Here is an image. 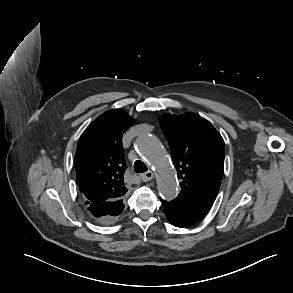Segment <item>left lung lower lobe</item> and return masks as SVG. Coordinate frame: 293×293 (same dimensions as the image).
<instances>
[{"mask_svg":"<svg viewBox=\"0 0 293 293\" xmlns=\"http://www.w3.org/2000/svg\"><path fill=\"white\" fill-rule=\"evenodd\" d=\"M162 203L168 220L176 227H189L197 223L205 215V212L189 207L176 198L171 202L162 200Z\"/></svg>","mask_w":293,"mask_h":293,"instance_id":"left-lung-lower-lobe-1","label":"left lung lower lobe"}]
</instances>
